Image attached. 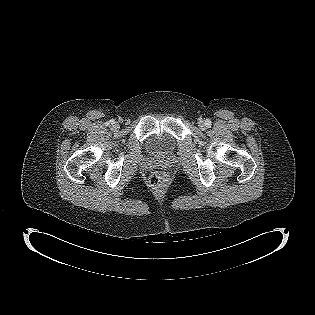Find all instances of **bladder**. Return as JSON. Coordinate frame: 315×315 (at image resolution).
<instances>
[{"instance_id":"obj_1","label":"bladder","mask_w":315,"mask_h":315,"mask_svg":"<svg viewBox=\"0 0 315 315\" xmlns=\"http://www.w3.org/2000/svg\"><path fill=\"white\" fill-rule=\"evenodd\" d=\"M150 152L157 156H165L172 152L174 142L167 134L154 135L148 140Z\"/></svg>"}]
</instances>
